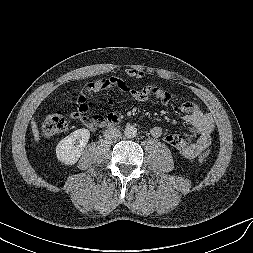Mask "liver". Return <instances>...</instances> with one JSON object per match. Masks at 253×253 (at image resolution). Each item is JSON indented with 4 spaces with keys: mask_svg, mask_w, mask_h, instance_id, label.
<instances>
[{
    "mask_svg": "<svg viewBox=\"0 0 253 253\" xmlns=\"http://www.w3.org/2000/svg\"><path fill=\"white\" fill-rule=\"evenodd\" d=\"M31 128H32V133H33V136H34V140L38 143L39 140H40V136H39L38 126H37L34 119H32V121H31Z\"/></svg>",
    "mask_w": 253,
    "mask_h": 253,
    "instance_id": "1",
    "label": "liver"
}]
</instances>
